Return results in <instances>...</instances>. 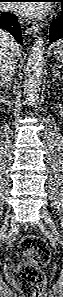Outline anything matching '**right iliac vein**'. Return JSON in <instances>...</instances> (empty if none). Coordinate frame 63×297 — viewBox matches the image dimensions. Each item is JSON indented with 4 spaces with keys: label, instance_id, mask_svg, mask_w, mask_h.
I'll use <instances>...</instances> for the list:
<instances>
[{
    "label": "right iliac vein",
    "instance_id": "63e3f726",
    "mask_svg": "<svg viewBox=\"0 0 63 297\" xmlns=\"http://www.w3.org/2000/svg\"><path fill=\"white\" fill-rule=\"evenodd\" d=\"M8 225H9V216L6 217L5 221H4V224L1 228V232L4 233L6 232L7 228H8ZM13 237H14V232H10L7 239L9 242H11L13 240Z\"/></svg>",
    "mask_w": 63,
    "mask_h": 297
}]
</instances>
